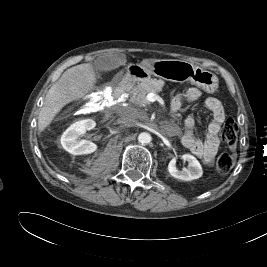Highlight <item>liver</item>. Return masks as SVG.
Masks as SVG:
<instances>
[{"label": "liver", "instance_id": "obj_1", "mask_svg": "<svg viewBox=\"0 0 267 267\" xmlns=\"http://www.w3.org/2000/svg\"><path fill=\"white\" fill-rule=\"evenodd\" d=\"M148 59L142 62H148ZM95 76L92 65L84 63L67 69L46 94L38 116L39 131H43L68 103L79 100L94 90Z\"/></svg>", "mask_w": 267, "mask_h": 267}]
</instances>
